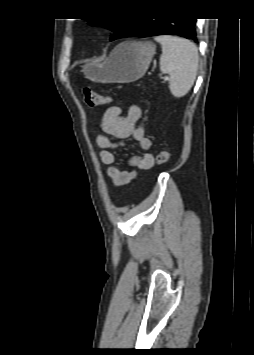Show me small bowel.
<instances>
[{"instance_id": "c3829d8e", "label": "small bowel", "mask_w": 254, "mask_h": 355, "mask_svg": "<svg viewBox=\"0 0 254 355\" xmlns=\"http://www.w3.org/2000/svg\"><path fill=\"white\" fill-rule=\"evenodd\" d=\"M142 116L138 105L129 107L125 115L119 106L108 108L101 120L104 134L96 136V142L101 148L100 159L108 166L107 174L115 186H122L137 176V171L148 170L154 166L155 158L151 153V140L147 137L145 128L137 125ZM132 138L139 144L141 154L130 159L131 170H124L117 165L115 151L122 145V141Z\"/></svg>"}]
</instances>
